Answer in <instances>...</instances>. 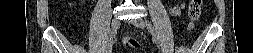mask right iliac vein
Masks as SVG:
<instances>
[{"label":"right iliac vein","instance_id":"right-iliac-vein-1","mask_svg":"<svg viewBox=\"0 0 253 53\" xmlns=\"http://www.w3.org/2000/svg\"><path fill=\"white\" fill-rule=\"evenodd\" d=\"M119 27H120L119 19H114L110 31V37H112V39L116 36Z\"/></svg>","mask_w":253,"mask_h":53}]
</instances>
